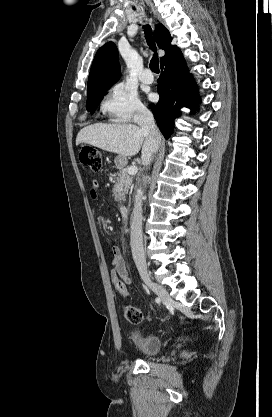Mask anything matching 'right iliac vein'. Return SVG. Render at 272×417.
I'll use <instances>...</instances> for the list:
<instances>
[{"mask_svg":"<svg viewBox=\"0 0 272 417\" xmlns=\"http://www.w3.org/2000/svg\"><path fill=\"white\" fill-rule=\"evenodd\" d=\"M145 284L153 291L155 292L159 299L162 301L163 304L168 303L171 298L168 294V292L166 291V289L164 287H162L161 285H158L154 282H152L150 279L146 278L145 279Z\"/></svg>","mask_w":272,"mask_h":417,"instance_id":"right-iliac-vein-1","label":"right iliac vein"}]
</instances>
